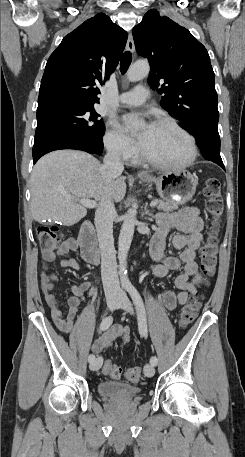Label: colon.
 Segmentation results:
<instances>
[{"mask_svg": "<svg viewBox=\"0 0 245 457\" xmlns=\"http://www.w3.org/2000/svg\"><path fill=\"white\" fill-rule=\"evenodd\" d=\"M206 197V210L210 218V228L206 240L201 247L202 272L204 275L203 283L208 285L210 277L215 273L217 264L218 249V226L223 215V198L221 193L220 181L215 177H210L206 181L204 189ZM39 243L43 254L54 253L62 239V234L57 226H41L37 231ZM201 292H195L189 301L184 305L179 316L180 327H187L196 318L201 299ZM102 372L112 378H118L121 369L111 360H105ZM142 376L140 366L129 367L124 371V377L129 382H137Z\"/></svg>", "mask_w": 245, "mask_h": 457, "instance_id": "colon-1", "label": "colon"}]
</instances>
